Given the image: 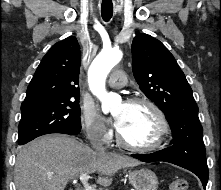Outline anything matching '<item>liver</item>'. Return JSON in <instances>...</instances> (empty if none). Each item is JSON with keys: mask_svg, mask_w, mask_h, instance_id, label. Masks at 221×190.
Masks as SVG:
<instances>
[{"mask_svg": "<svg viewBox=\"0 0 221 190\" xmlns=\"http://www.w3.org/2000/svg\"><path fill=\"white\" fill-rule=\"evenodd\" d=\"M138 164L128 156L94 151L71 137L47 135L19 149L14 179L17 190H64L69 180L97 171V183L109 186L119 169Z\"/></svg>", "mask_w": 221, "mask_h": 190, "instance_id": "liver-1", "label": "liver"}]
</instances>
